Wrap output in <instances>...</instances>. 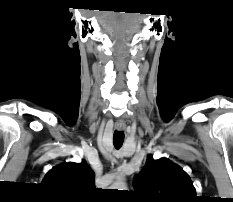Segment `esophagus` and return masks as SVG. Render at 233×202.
Instances as JSON below:
<instances>
[{
	"label": "esophagus",
	"instance_id": "1",
	"mask_svg": "<svg viewBox=\"0 0 233 202\" xmlns=\"http://www.w3.org/2000/svg\"><path fill=\"white\" fill-rule=\"evenodd\" d=\"M115 127H116L117 130H122V129L125 128V124H122V123L116 124Z\"/></svg>",
	"mask_w": 233,
	"mask_h": 202
}]
</instances>
